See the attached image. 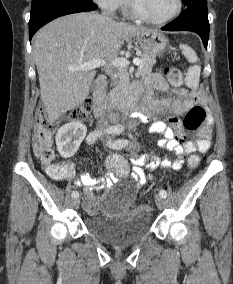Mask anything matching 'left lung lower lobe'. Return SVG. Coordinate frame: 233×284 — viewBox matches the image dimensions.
Here are the masks:
<instances>
[{
	"instance_id": "left-lung-lower-lobe-1",
	"label": "left lung lower lobe",
	"mask_w": 233,
	"mask_h": 284,
	"mask_svg": "<svg viewBox=\"0 0 233 284\" xmlns=\"http://www.w3.org/2000/svg\"><path fill=\"white\" fill-rule=\"evenodd\" d=\"M165 31H192L197 33L207 49L209 21L207 0H200L187 6L186 10L174 21L162 27Z\"/></svg>"
}]
</instances>
